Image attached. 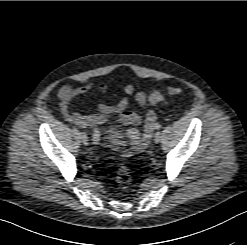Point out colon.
<instances>
[{"label": "colon", "instance_id": "5ec220e1", "mask_svg": "<svg viewBox=\"0 0 247 245\" xmlns=\"http://www.w3.org/2000/svg\"><path fill=\"white\" fill-rule=\"evenodd\" d=\"M168 95L175 96L181 93V89L179 87H169L167 89ZM164 96L159 92H153L149 96V102L151 104H157L163 101ZM116 181L122 188H127L130 186L132 178L130 174V170L126 165H121L116 174Z\"/></svg>", "mask_w": 247, "mask_h": 245}]
</instances>
